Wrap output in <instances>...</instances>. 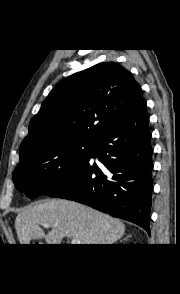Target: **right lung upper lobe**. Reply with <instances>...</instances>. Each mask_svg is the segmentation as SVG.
Masks as SVG:
<instances>
[{
    "mask_svg": "<svg viewBox=\"0 0 180 294\" xmlns=\"http://www.w3.org/2000/svg\"><path fill=\"white\" fill-rule=\"evenodd\" d=\"M145 102L143 91L118 63H100L60 82L31 119L20 161L45 147L94 142Z\"/></svg>",
    "mask_w": 180,
    "mask_h": 294,
    "instance_id": "cb5924a9",
    "label": "right lung upper lobe"
}]
</instances>
